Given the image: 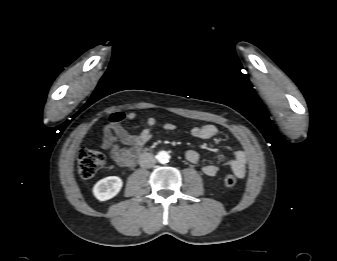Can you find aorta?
<instances>
[{"label": "aorta", "instance_id": "aorta-1", "mask_svg": "<svg viewBox=\"0 0 337 261\" xmlns=\"http://www.w3.org/2000/svg\"><path fill=\"white\" fill-rule=\"evenodd\" d=\"M156 158L160 163H167L169 161L170 156L166 151H160L158 152Z\"/></svg>", "mask_w": 337, "mask_h": 261}]
</instances>
